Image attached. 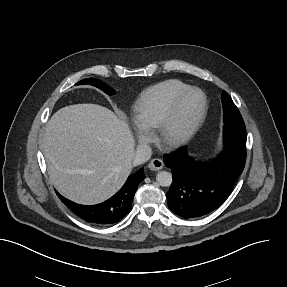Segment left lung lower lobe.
<instances>
[{"label": "left lung lower lobe", "mask_w": 287, "mask_h": 287, "mask_svg": "<svg viewBox=\"0 0 287 287\" xmlns=\"http://www.w3.org/2000/svg\"><path fill=\"white\" fill-rule=\"evenodd\" d=\"M246 161L245 130L224 131V150L210 162L193 160L186 147L164 156L173 182L168 206L185 218H198L217 209L230 195Z\"/></svg>", "instance_id": "left-lung-lower-lobe-1"}]
</instances>
